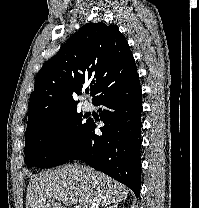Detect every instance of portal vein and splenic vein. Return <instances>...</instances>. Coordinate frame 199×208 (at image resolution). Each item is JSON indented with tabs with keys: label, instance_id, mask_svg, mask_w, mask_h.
I'll return each instance as SVG.
<instances>
[{
	"label": "portal vein and splenic vein",
	"instance_id": "18ae733b",
	"mask_svg": "<svg viewBox=\"0 0 199 208\" xmlns=\"http://www.w3.org/2000/svg\"><path fill=\"white\" fill-rule=\"evenodd\" d=\"M58 200L62 201L63 203L77 204V200L74 198L62 197L58 198ZM75 208H80V206L76 205Z\"/></svg>",
	"mask_w": 199,
	"mask_h": 208
}]
</instances>
